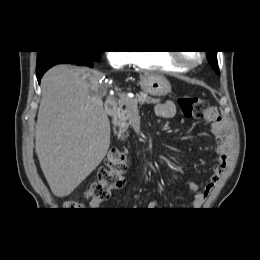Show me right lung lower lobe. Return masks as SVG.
<instances>
[{
    "mask_svg": "<svg viewBox=\"0 0 260 260\" xmlns=\"http://www.w3.org/2000/svg\"><path fill=\"white\" fill-rule=\"evenodd\" d=\"M92 60H87V59H75V58H71V57H64V58H60L55 60L54 62L49 63L48 65L42 67L41 69L37 70V80L40 83V80L43 76V74L52 66L57 65V64H68V63H72V64H77V65H84V66H90L92 67L91 64Z\"/></svg>",
    "mask_w": 260,
    "mask_h": 260,
    "instance_id": "obj_1",
    "label": "right lung lower lobe"
}]
</instances>
